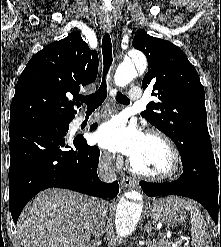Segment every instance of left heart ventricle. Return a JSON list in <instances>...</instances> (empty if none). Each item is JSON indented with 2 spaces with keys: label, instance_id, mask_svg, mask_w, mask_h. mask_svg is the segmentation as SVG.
Wrapping results in <instances>:
<instances>
[{
  "label": "left heart ventricle",
  "instance_id": "1",
  "mask_svg": "<svg viewBox=\"0 0 221 247\" xmlns=\"http://www.w3.org/2000/svg\"><path fill=\"white\" fill-rule=\"evenodd\" d=\"M133 165L148 174H163L172 166L168 147L159 139L146 136L138 153L131 159Z\"/></svg>",
  "mask_w": 221,
  "mask_h": 247
}]
</instances>
